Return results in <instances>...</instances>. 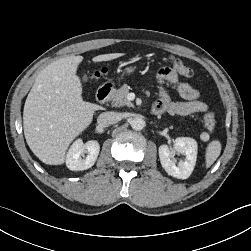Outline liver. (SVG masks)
<instances>
[{
	"label": "liver",
	"instance_id": "obj_1",
	"mask_svg": "<svg viewBox=\"0 0 251 251\" xmlns=\"http://www.w3.org/2000/svg\"><path fill=\"white\" fill-rule=\"evenodd\" d=\"M123 53L98 55L94 62L111 61ZM81 56H68L46 66L37 76L23 111L26 142L43 163L61 165L70 143L92 122L97 104L82 98L76 72Z\"/></svg>",
	"mask_w": 251,
	"mask_h": 251
}]
</instances>
